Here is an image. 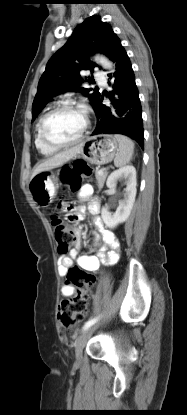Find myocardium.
Listing matches in <instances>:
<instances>
[{
    "label": "myocardium",
    "mask_w": 187,
    "mask_h": 415,
    "mask_svg": "<svg viewBox=\"0 0 187 415\" xmlns=\"http://www.w3.org/2000/svg\"><path fill=\"white\" fill-rule=\"evenodd\" d=\"M62 108H75V109L80 110L83 113L84 117H85V125H84V128L81 131V133L75 139H72L70 141H65V142H57V141L51 140L46 135L45 128H46V124H47V121L50 118V116L53 115L55 112H57L58 110H60ZM89 128H90V119H89L88 115L82 109H80L74 102H72L70 100H64V101H60V102L56 103L42 117V119L40 121V125H39V135H40L41 140L46 145H48L50 147H53V148L60 149V148H66V147L75 145V144L79 143L80 141H82V139L87 134Z\"/></svg>",
    "instance_id": "f54148a6"
}]
</instances>
